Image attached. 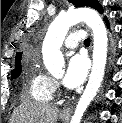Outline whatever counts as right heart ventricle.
I'll list each match as a JSON object with an SVG mask.
<instances>
[{
	"label": "right heart ventricle",
	"instance_id": "right-heart-ventricle-1",
	"mask_svg": "<svg viewBox=\"0 0 122 123\" xmlns=\"http://www.w3.org/2000/svg\"><path fill=\"white\" fill-rule=\"evenodd\" d=\"M28 93L29 96L36 102H50L54 93L52 79L44 73L34 69L31 72Z\"/></svg>",
	"mask_w": 122,
	"mask_h": 123
}]
</instances>
